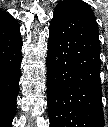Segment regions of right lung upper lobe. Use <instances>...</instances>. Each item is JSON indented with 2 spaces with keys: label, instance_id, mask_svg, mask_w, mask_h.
Segmentation results:
<instances>
[{
  "label": "right lung upper lobe",
  "instance_id": "1",
  "mask_svg": "<svg viewBox=\"0 0 108 127\" xmlns=\"http://www.w3.org/2000/svg\"><path fill=\"white\" fill-rule=\"evenodd\" d=\"M11 17L12 16L9 15L8 13L0 14V20H5V19L11 18Z\"/></svg>",
  "mask_w": 108,
  "mask_h": 127
}]
</instances>
